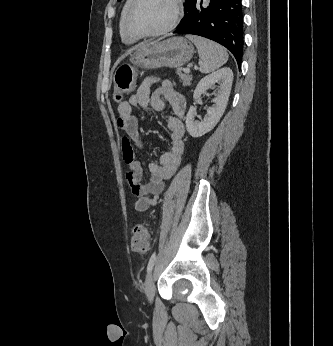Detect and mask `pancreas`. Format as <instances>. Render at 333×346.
Instances as JSON below:
<instances>
[{"label":"pancreas","mask_w":333,"mask_h":346,"mask_svg":"<svg viewBox=\"0 0 333 346\" xmlns=\"http://www.w3.org/2000/svg\"><path fill=\"white\" fill-rule=\"evenodd\" d=\"M183 71L184 70L181 68L177 70V75L180 79V82H182L183 86H190L192 77L187 73H183Z\"/></svg>","instance_id":"cf45deb5"}]
</instances>
